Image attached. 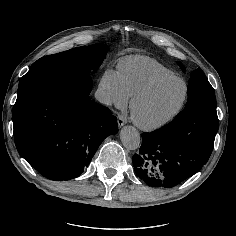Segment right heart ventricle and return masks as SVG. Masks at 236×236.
I'll use <instances>...</instances> for the list:
<instances>
[{"mask_svg": "<svg viewBox=\"0 0 236 236\" xmlns=\"http://www.w3.org/2000/svg\"><path fill=\"white\" fill-rule=\"evenodd\" d=\"M117 70L129 96L157 78L175 76L171 69L145 55H128L120 58Z\"/></svg>", "mask_w": 236, "mask_h": 236, "instance_id": "e07e8e85", "label": "right heart ventricle"}]
</instances>
